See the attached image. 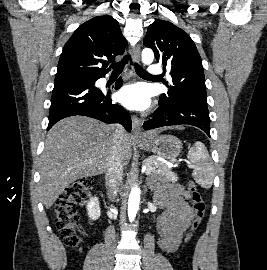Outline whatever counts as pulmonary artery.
I'll list each match as a JSON object with an SVG mask.
<instances>
[{"mask_svg": "<svg viewBox=\"0 0 267 270\" xmlns=\"http://www.w3.org/2000/svg\"><path fill=\"white\" fill-rule=\"evenodd\" d=\"M148 72H149V74H151V75H157V74H159V73L161 72V69H160V67L157 66V65H151V66H149V68H148Z\"/></svg>", "mask_w": 267, "mask_h": 270, "instance_id": "e3ab8cb5", "label": "pulmonary artery"}]
</instances>
